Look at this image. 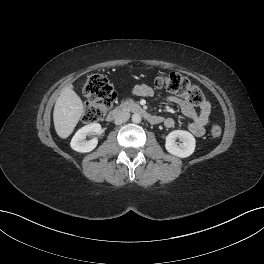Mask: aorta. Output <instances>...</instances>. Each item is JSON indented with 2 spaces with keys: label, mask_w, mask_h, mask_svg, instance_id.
<instances>
[{
  "label": "aorta",
  "mask_w": 264,
  "mask_h": 264,
  "mask_svg": "<svg viewBox=\"0 0 264 264\" xmlns=\"http://www.w3.org/2000/svg\"><path fill=\"white\" fill-rule=\"evenodd\" d=\"M142 120L141 116L138 113L132 115V122L133 123H140Z\"/></svg>",
  "instance_id": "1"
}]
</instances>
